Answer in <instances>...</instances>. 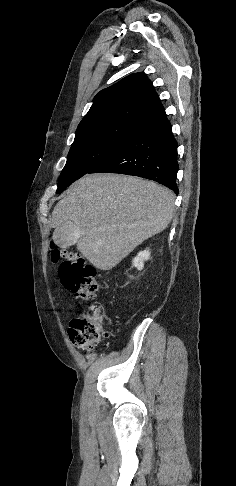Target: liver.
Instances as JSON below:
<instances>
[{"label": "liver", "instance_id": "liver-1", "mask_svg": "<svg viewBox=\"0 0 236 486\" xmlns=\"http://www.w3.org/2000/svg\"><path fill=\"white\" fill-rule=\"evenodd\" d=\"M174 194L153 181L89 174L76 181L52 212L50 226L74 227L69 236L96 268L111 270L171 222Z\"/></svg>", "mask_w": 236, "mask_h": 486}]
</instances>
